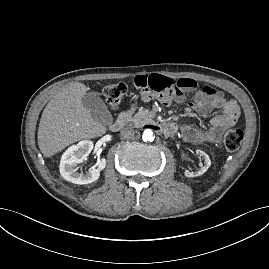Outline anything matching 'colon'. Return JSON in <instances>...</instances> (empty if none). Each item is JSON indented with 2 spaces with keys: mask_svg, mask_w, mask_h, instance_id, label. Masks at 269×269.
I'll return each mask as SVG.
<instances>
[{
  "mask_svg": "<svg viewBox=\"0 0 269 269\" xmlns=\"http://www.w3.org/2000/svg\"><path fill=\"white\" fill-rule=\"evenodd\" d=\"M127 91L126 85L123 83H108L103 87V95L112 109H116ZM243 131L241 129L227 130L223 137L225 148L229 152L239 149L243 141Z\"/></svg>",
  "mask_w": 269,
  "mask_h": 269,
  "instance_id": "5ec220e1",
  "label": "colon"
}]
</instances>
